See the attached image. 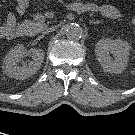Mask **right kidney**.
I'll return each instance as SVG.
<instances>
[{"label":"right kidney","instance_id":"1","mask_svg":"<svg viewBox=\"0 0 135 135\" xmlns=\"http://www.w3.org/2000/svg\"><path fill=\"white\" fill-rule=\"evenodd\" d=\"M44 54V51L41 49H31L28 51L23 45H17L4 59V72L15 79H26L39 70L44 59ZM25 55H31L33 60L29 65L21 67L18 65V62Z\"/></svg>","mask_w":135,"mask_h":135}]
</instances>
